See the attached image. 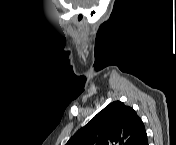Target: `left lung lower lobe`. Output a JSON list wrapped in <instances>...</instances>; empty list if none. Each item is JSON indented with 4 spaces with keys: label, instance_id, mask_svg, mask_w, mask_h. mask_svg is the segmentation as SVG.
Masks as SVG:
<instances>
[{
    "label": "left lung lower lobe",
    "instance_id": "1",
    "mask_svg": "<svg viewBox=\"0 0 176 145\" xmlns=\"http://www.w3.org/2000/svg\"><path fill=\"white\" fill-rule=\"evenodd\" d=\"M139 145H148L147 134H145Z\"/></svg>",
    "mask_w": 176,
    "mask_h": 145
}]
</instances>
